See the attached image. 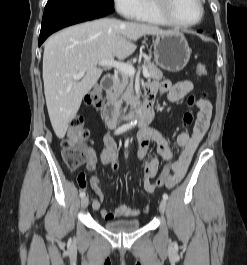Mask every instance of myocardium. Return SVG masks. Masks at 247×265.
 <instances>
[{
    "mask_svg": "<svg viewBox=\"0 0 247 265\" xmlns=\"http://www.w3.org/2000/svg\"><path fill=\"white\" fill-rule=\"evenodd\" d=\"M173 0H154V7L157 13L171 26L176 28H190L198 25L204 18L205 7L203 0H197L200 7V15L197 20L191 23H182L178 21L172 13Z\"/></svg>",
    "mask_w": 247,
    "mask_h": 265,
    "instance_id": "f54148a6",
    "label": "myocardium"
}]
</instances>
